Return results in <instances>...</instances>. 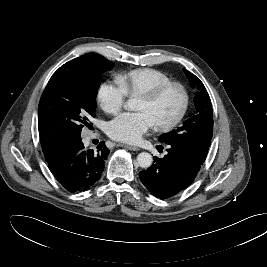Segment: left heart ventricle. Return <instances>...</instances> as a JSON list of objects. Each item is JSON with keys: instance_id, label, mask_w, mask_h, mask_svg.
I'll use <instances>...</instances> for the list:
<instances>
[{"instance_id": "obj_1", "label": "left heart ventricle", "mask_w": 267, "mask_h": 267, "mask_svg": "<svg viewBox=\"0 0 267 267\" xmlns=\"http://www.w3.org/2000/svg\"><path fill=\"white\" fill-rule=\"evenodd\" d=\"M183 104V94L178 88L165 91L154 102H145L137 99L134 109L147 115L153 126L165 124L173 120Z\"/></svg>"}]
</instances>
